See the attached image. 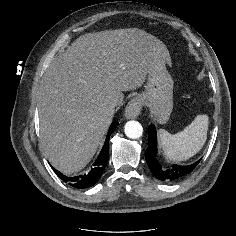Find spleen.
<instances>
[{"instance_id": "spleen-1", "label": "spleen", "mask_w": 236, "mask_h": 236, "mask_svg": "<svg viewBox=\"0 0 236 236\" xmlns=\"http://www.w3.org/2000/svg\"><path fill=\"white\" fill-rule=\"evenodd\" d=\"M208 123L207 115H198L179 133L170 134L160 129L159 137L165 155L174 161H183L194 156L206 142Z\"/></svg>"}]
</instances>
